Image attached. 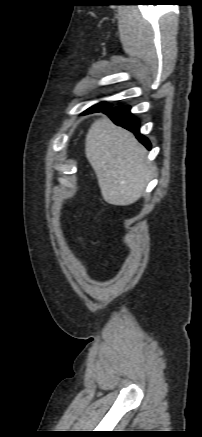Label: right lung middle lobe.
Wrapping results in <instances>:
<instances>
[{
  "instance_id": "dd1d6c3e",
  "label": "right lung middle lobe",
  "mask_w": 202,
  "mask_h": 437,
  "mask_svg": "<svg viewBox=\"0 0 202 437\" xmlns=\"http://www.w3.org/2000/svg\"><path fill=\"white\" fill-rule=\"evenodd\" d=\"M104 104H105V102H102V103L96 104V105L92 106L91 108H89L85 113L95 112L97 109L103 107Z\"/></svg>"
}]
</instances>
